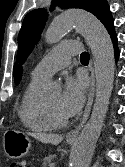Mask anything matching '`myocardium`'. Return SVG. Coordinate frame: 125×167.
Wrapping results in <instances>:
<instances>
[{
    "label": "myocardium",
    "mask_w": 125,
    "mask_h": 167,
    "mask_svg": "<svg viewBox=\"0 0 125 167\" xmlns=\"http://www.w3.org/2000/svg\"><path fill=\"white\" fill-rule=\"evenodd\" d=\"M44 110L48 120L50 121V123L53 125L54 128L65 127L69 124V118L67 116L57 115L50 107L46 98H44Z\"/></svg>",
    "instance_id": "obj_1"
}]
</instances>
